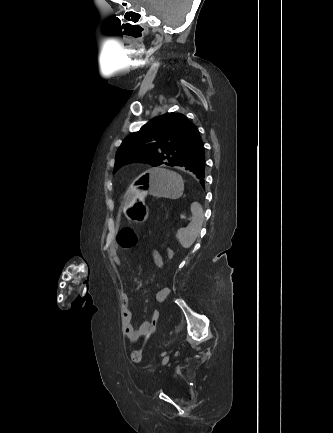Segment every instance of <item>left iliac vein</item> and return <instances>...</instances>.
Listing matches in <instances>:
<instances>
[{"label":"left iliac vein","instance_id":"4c4485c4","mask_svg":"<svg viewBox=\"0 0 333 433\" xmlns=\"http://www.w3.org/2000/svg\"><path fill=\"white\" fill-rule=\"evenodd\" d=\"M169 355L165 356L164 359L162 360V365L167 364V362L169 361Z\"/></svg>","mask_w":333,"mask_h":433}]
</instances>
